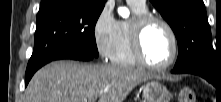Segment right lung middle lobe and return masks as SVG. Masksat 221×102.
<instances>
[{"label":"right lung middle lobe","mask_w":221,"mask_h":102,"mask_svg":"<svg viewBox=\"0 0 221 102\" xmlns=\"http://www.w3.org/2000/svg\"><path fill=\"white\" fill-rule=\"evenodd\" d=\"M103 8L81 0L40 8L27 70L67 51L98 57L94 29Z\"/></svg>","instance_id":"obj_1"}]
</instances>
